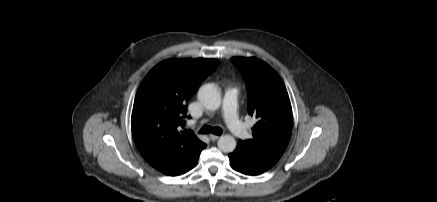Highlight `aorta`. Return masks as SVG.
Here are the masks:
<instances>
[{"instance_id":"aorta-1","label":"aorta","mask_w":437,"mask_h":202,"mask_svg":"<svg viewBox=\"0 0 437 202\" xmlns=\"http://www.w3.org/2000/svg\"><path fill=\"white\" fill-rule=\"evenodd\" d=\"M198 100L208 110H217L221 105L220 90L213 84H205L198 90ZM236 140L231 135H223L218 140V148L224 153H231L236 148Z\"/></svg>"}]
</instances>
